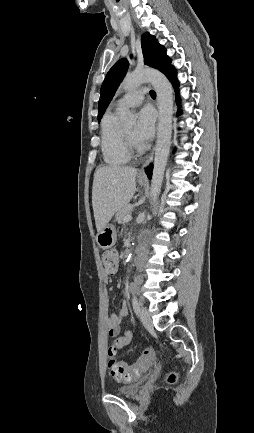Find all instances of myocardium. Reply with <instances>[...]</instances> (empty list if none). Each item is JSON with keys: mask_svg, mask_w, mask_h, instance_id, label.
<instances>
[{"mask_svg": "<svg viewBox=\"0 0 254 433\" xmlns=\"http://www.w3.org/2000/svg\"><path fill=\"white\" fill-rule=\"evenodd\" d=\"M122 137L124 141V145L127 149V151L130 154H133L135 152H138L141 148L137 141L133 140L125 131L122 129Z\"/></svg>", "mask_w": 254, "mask_h": 433, "instance_id": "1", "label": "myocardium"}]
</instances>
